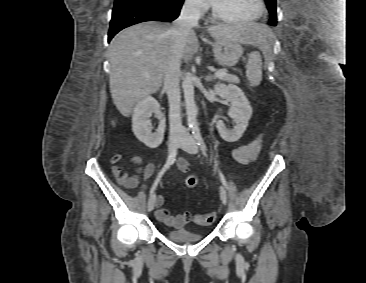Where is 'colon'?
<instances>
[{"mask_svg":"<svg viewBox=\"0 0 366 283\" xmlns=\"http://www.w3.org/2000/svg\"><path fill=\"white\" fill-rule=\"evenodd\" d=\"M199 183V180L196 176L191 175L189 177L186 178L185 184L188 188H195L197 187ZM189 218H190V214H188ZM215 220V213L211 212V213H207L204 215L201 214H197L193 216V221L198 224V225H211Z\"/></svg>","mask_w":366,"mask_h":283,"instance_id":"1","label":"colon"}]
</instances>
